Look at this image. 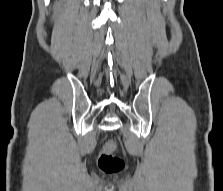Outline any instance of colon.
Listing matches in <instances>:
<instances>
[{
  "label": "colon",
  "instance_id": "colon-1",
  "mask_svg": "<svg viewBox=\"0 0 223 191\" xmlns=\"http://www.w3.org/2000/svg\"><path fill=\"white\" fill-rule=\"evenodd\" d=\"M117 144L111 140L99 155L98 166L100 170L106 174L120 173L125 168L124 161L113 154Z\"/></svg>",
  "mask_w": 223,
  "mask_h": 191
}]
</instances>
